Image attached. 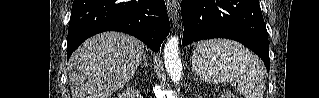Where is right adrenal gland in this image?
I'll list each match as a JSON object with an SVG mask.
<instances>
[{"label":"right adrenal gland","mask_w":319,"mask_h":98,"mask_svg":"<svg viewBox=\"0 0 319 98\" xmlns=\"http://www.w3.org/2000/svg\"><path fill=\"white\" fill-rule=\"evenodd\" d=\"M143 60H144V63H143V64H141V68H142L143 66H145L146 68H148L146 54H144V55H143Z\"/></svg>","instance_id":"2a0ac1e0"}]
</instances>
